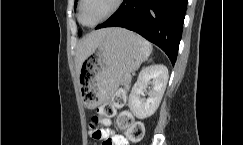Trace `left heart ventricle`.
<instances>
[{"label": "left heart ventricle", "mask_w": 243, "mask_h": 145, "mask_svg": "<svg viewBox=\"0 0 243 145\" xmlns=\"http://www.w3.org/2000/svg\"><path fill=\"white\" fill-rule=\"evenodd\" d=\"M115 0H85L82 9V20L92 25L103 18L114 6Z\"/></svg>", "instance_id": "obj_1"}]
</instances>
